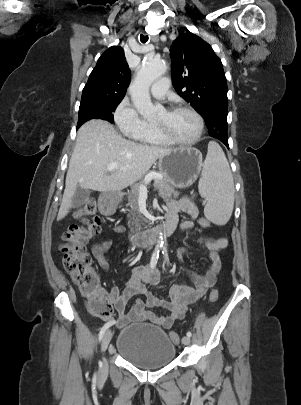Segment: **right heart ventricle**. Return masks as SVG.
<instances>
[{
    "mask_svg": "<svg viewBox=\"0 0 301 405\" xmlns=\"http://www.w3.org/2000/svg\"><path fill=\"white\" fill-rule=\"evenodd\" d=\"M132 137L141 143L150 145H167L168 142L161 138L155 131L154 127L150 123H146L144 127L137 133L132 135Z\"/></svg>",
    "mask_w": 301,
    "mask_h": 405,
    "instance_id": "right-heart-ventricle-1",
    "label": "right heart ventricle"
}]
</instances>
